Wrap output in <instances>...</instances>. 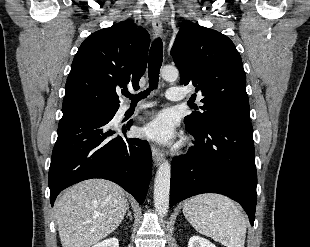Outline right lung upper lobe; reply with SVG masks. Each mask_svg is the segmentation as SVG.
<instances>
[{
  "label": "right lung upper lobe",
  "instance_id": "1",
  "mask_svg": "<svg viewBox=\"0 0 310 247\" xmlns=\"http://www.w3.org/2000/svg\"><path fill=\"white\" fill-rule=\"evenodd\" d=\"M150 38L131 21L94 32L80 45L65 85L62 111L118 110L116 90L139 89L147 66Z\"/></svg>",
  "mask_w": 310,
  "mask_h": 247
}]
</instances>
